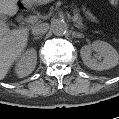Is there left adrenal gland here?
<instances>
[{
  "label": "left adrenal gland",
  "instance_id": "obj_1",
  "mask_svg": "<svg viewBox=\"0 0 119 119\" xmlns=\"http://www.w3.org/2000/svg\"><path fill=\"white\" fill-rule=\"evenodd\" d=\"M73 36L76 38H83L84 36L81 34V33H76V32H73Z\"/></svg>",
  "mask_w": 119,
  "mask_h": 119
}]
</instances>
